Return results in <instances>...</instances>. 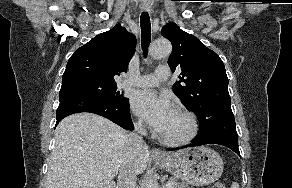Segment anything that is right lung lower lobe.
<instances>
[{"label": "right lung lower lobe", "instance_id": "1", "mask_svg": "<svg viewBox=\"0 0 292 188\" xmlns=\"http://www.w3.org/2000/svg\"><path fill=\"white\" fill-rule=\"evenodd\" d=\"M56 125L66 116L90 112L103 116L126 130H133L130 117L129 100L121 105H109L88 94L81 92H63L59 94Z\"/></svg>", "mask_w": 292, "mask_h": 188}]
</instances>
